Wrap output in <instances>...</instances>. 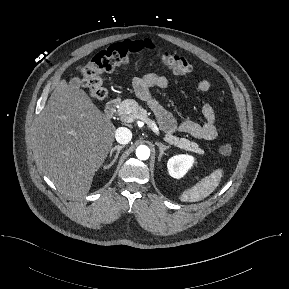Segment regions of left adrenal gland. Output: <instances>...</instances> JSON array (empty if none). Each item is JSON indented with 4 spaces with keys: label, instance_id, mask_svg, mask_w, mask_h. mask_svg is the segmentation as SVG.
Segmentation results:
<instances>
[{
    "label": "left adrenal gland",
    "instance_id": "obj_1",
    "mask_svg": "<svg viewBox=\"0 0 289 289\" xmlns=\"http://www.w3.org/2000/svg\"><path fill=\"white\" fill-rule=\"evenodd\" d=\"M156 145L159 147V157L158 160L160 161L162 156L165 154L164 151L169 149V146H166L162 143H156Z\"/></svg>",
    "mask_w": 289,
    "mask_h": 289
}]
</instances>
